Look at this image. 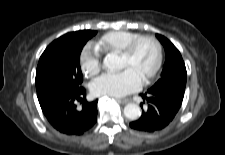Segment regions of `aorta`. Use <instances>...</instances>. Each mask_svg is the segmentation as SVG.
Returning <instances> with one entry per match:
<instances>
[{
    "mask_svg": "<svg viewBox=\"0 0 225 155\" xmlns=\"http://www.w3.org/2000/svg\"><path fill=\"white\" fill-rule=\"evenodd\" d=\"M103 67L106 69L121 68L120 57L116 54H107L103 61ZM124 115L129 120H137L141 116L140 107L137 104L130 103L124 107Z\"/></svg>",
    "mask_w": 225,
    "mask_h": 155,
    "instance_id": "1",
    "label": "aorta"
}]
</instances>
